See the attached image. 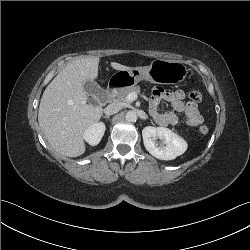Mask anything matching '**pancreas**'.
<instances>
[{
	"label": "pancreas",
	"mask_w": 250,
	"mask_h": 250,
	"mask_svg": "<svg viewBox=\"0 0 250 250\" xmlns=\"http://www.w3.org/2000/svg\"><path fill=\"white\" fill-rule=\"evenodd\" d=\"M131 92H135L137 94L140 93V87L139 86H130V87H126V88L117 89L116 92L114 93V97L116 98L115 100L117 102H121V103L130 102L127 100V96Z\"/></svg>",
	"instance_id": "1"
}]
</instances>
